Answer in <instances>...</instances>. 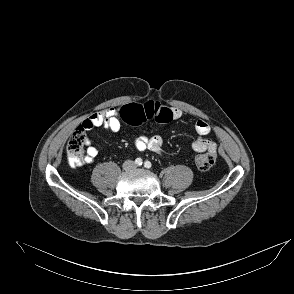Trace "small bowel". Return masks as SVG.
I'll return each mask as SVG.
<instances>
[{
	"label": "small bowel",
	"instance_id": "1",
	"mask_svg": "<svg viewBox=\"0 0 294 294\" xmlns=\"http://www.w3.org/2000/svg\"><path fill=\"white\" fill-rule=\"evenodd\" d=\"M120 110L116 107H110L103 111L90 115L83 123L82 128L84 130H91L94 127H103L111 132H119L121 129V117ZM172 119L178 120L182 117L183 112L177 107L171 108ZM195 131L197 138L192 143V148L198 153L202 152H216V143L209 139L208 134L210 132V126L204 120H198L195 123ZM87 151L84 158L85 163L90 164L94 161L98 155V149L93 146L90 141H86ZM134 145L137 150L145 151L149 150L156 154H162L163 152V139L158 136H147L142 134L134 139Z\"/></svg>",
	"mask_w": 294,
	"mask_h": 294
}]
</instances>
